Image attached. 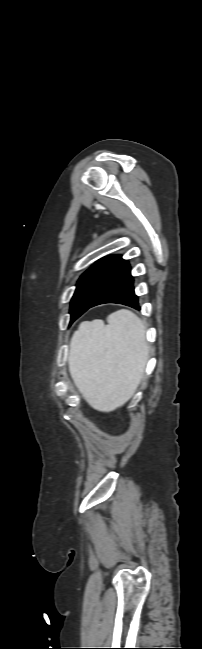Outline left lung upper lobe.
<instances>
[{"label": "left lung upper lobe", "instance_id": "1", "mask_svg": "<svg viewBox=\"0 0 202 649\" xmlns=\"http://www.w3.org/2000/svg\"><path fill=\"white\" fill-rule=\"evenodd\" d=\"M124 262L119 255L108 256L97 261L81 275L71 299L70 323L85 312L86 306L95 299Z\"/></svg>", "mask_w": 202, "mask_h": 649}]
</instances>
